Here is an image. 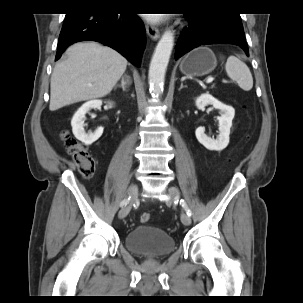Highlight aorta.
<instances>
[{
  "label": "aorta",
  "mask_w": 303,
  "mask_h": 303,
  "mask_svg": "<svg viewBox=\"0 0 303 303\" xmlns=\"http://www.w3.org/2000/svg\"><path fill=\"white\" fill-rule=\"evenodd\" d=\"M173 46L174 33L171 30H167L160 38L149 66V85L155 95H159L163 91L165 74Z\"/></svg>",
  "instance_id": "obj_1"
}]
</instances>
